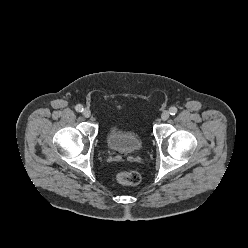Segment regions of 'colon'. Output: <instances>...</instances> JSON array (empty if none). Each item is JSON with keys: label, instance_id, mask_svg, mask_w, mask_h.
<instances>
[{"label": "colon", "instance_id": "1", "mask_svg": "<svg viewBox=\"0 0 248 248\" xmlns=\"http://www.w3.org/2000/svg\"><path fill=\"white\" fill-rule=\"evenodd\" d=\"M117 181L120 184L136 186L141 181V176L137 171H122L117 175Z\"/></svg>", "mask_w": 248, "mask_h": 248}]
</instances>
